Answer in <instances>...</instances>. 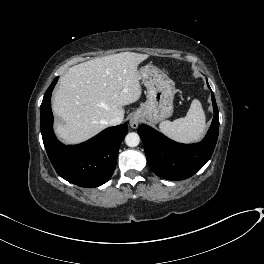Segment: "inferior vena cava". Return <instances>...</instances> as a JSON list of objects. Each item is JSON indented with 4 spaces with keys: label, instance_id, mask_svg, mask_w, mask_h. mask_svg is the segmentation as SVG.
<instances>
[{
    "label": "inferior vena cava",
    "instance_id": "602c4592",
    "mask_svg": "<svg viewBox=\"0 0 264 264\" xmlns=\"http://www.w3.org/2000/svg\"><path fill=\"white\" fill-rule=\"evenodd\" d=\"M122 121H123V117H121V116H116V117L110 119V121L108 122V125H109V126H116V125L121 124Z\"/></svg>",
    "mask_w": 264,
    "mask_h": 264
}]
</instances>
